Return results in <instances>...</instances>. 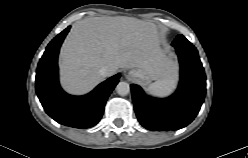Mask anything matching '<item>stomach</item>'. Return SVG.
Masks as SVG:
<instances>
[{
  "label": "stomach",
  "mask_w": 248,
  "mask_h": 158,
  "mask_svg": "<svg viewBox=\"0 0 248 158\" xmlns=\"http://www.w3.org/2000/svg\"><path fill=\"white\" fill-rule=\"evenodd\" d=\"M172 61V60H171ZM173 65H174V69H175V63L172 61ZM132 73L134 74V76L136 78H138L144 85H148L151 81L152 78L151 76L148 74L147 71L143 70V69H135L132 71Z\"/></svg>",
  "instance_id": "1"
}]
</instances>
